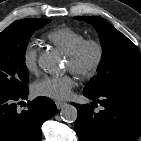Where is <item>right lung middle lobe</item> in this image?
Instances as JSON below:
<instances>
[{
  "label": "right lung middle lobe",
  "instance_id": "1",
  "mask_svg": "<svg viewBox=\"0 0 141 141\" xmlns=\"http://www.w3.org/2000/svg\"><path fill=\"white\" fill-rule=\"evenodd\" d=\"M49 22V19H22L0 33V94H15L28 89L27 43L34 31Z\"/></svg>",
  "mask_w": 141,
  "mask_h": 141
}]
</instances>
